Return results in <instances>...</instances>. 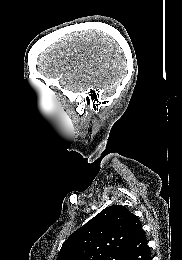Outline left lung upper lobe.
<instances>
[{
    "mask_svg": "<svg viewBox=\"0 0 182 260\" xmlns=\"http://www.w3.org/2000/svg\"><path fill=\"white\" fill-rule=\"evenodd\" d=\"M141 227L125 206H109L69 236L57 260H121Z\"/></svg>",
    "mask_w": 182,
    "mask_h": 260,
    "instance_id": "1",
    "label": "left lung upper lobe"
}]
</instances>
